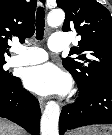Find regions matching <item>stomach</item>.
I'll return each instance as SVG.
<instances>
[{
  "instance_id": "stomach-1",
  "label": "stomach",
  "mask_w": 112,
  "mask_h": 135,
  "mask_svg": "<svg viewBox=\"0 0 112 135\" xmlns=\"http://www.w3.org/2000/svg\"><path fill=\"white\" fill-rule=\"evenodd\" d=\"M69 135H112V127L106 125H93L70 132Z\"/></svg>"
}]
</instances>
